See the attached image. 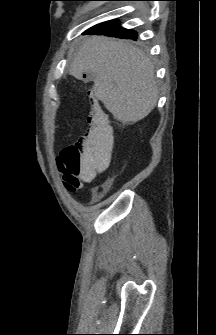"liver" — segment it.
Listing matches in <instances>:
<instances>
[{
    "mask_svg": "<svg viewBox=\"0 0 216 335\" xmlns=\"http://www.w3.org/2000/svg\"><path fill=\"white\" fill-rule=\"evenodd\" d=\"M94 76V93L114 119L136 123L156 106L158 87L154 65L139 48L104 36L86 38L77 51L70 74Z\"/></svg>",
    "mask_w": 216,
    "mask_h": 335,
    "instance_id": "liver-1",
    "label": "liver"
}]
</instances>
